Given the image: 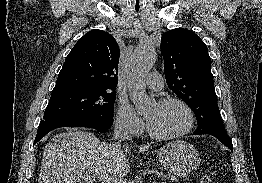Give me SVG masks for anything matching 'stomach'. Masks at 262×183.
Listing matches in <instances>:
<instances>
[{
  "instance_id": "1",
  "label": "stomach",
  "mask_w": 262,
  "mask_h": 183,
  "mask_svg": "<svg viewBox=\"0 0 262 183\" xmlns=\"http://www.w3.org/2000/svg\"><path fill=\"white\" fill-rule=\"evenodd\" d=\"M157 157L170 173L180 177L193 174L201 162L200 155L195 147L181 140L164 145L157 152Z\"/></svg>"
}]
</instances>
